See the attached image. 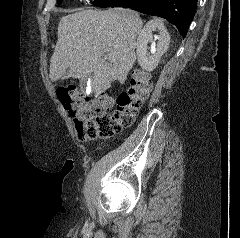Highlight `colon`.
<instances>
[{
    "label": "colon",
    "instance_id": "obj_1",
    "mask_svg": "<svg viewBox=\"0 0 240 238\" xmlns=\"http://www.w3.org/2000/svg\"><path fill=\"white\" fill-rule=\"evenodd\" d=\"M150 90L149 73L135 70L129 86L118 96L116 109L112 113L106 110L112 105V99L107 94L90 101L74 85H68L58 87L56 95L73 117L78 137L92 140L110 138L130 126Z\"/></svg>",
    "mask_w": 240,
    "mask_h": 238
}]
</instances>
